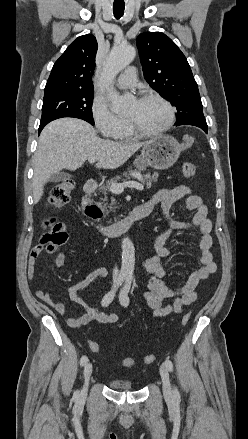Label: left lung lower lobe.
<instances>
[{
  "instance_id": "0a47b994",
  "label": "left lung lower lobe",
  "mask_w": 248,
  "mask_h": 439,
  "mask_svg": "<svg viewBox=\"0 0 248 439\" xmlns=\"http://www.w3.org/2000/svg\"><path fill=\"white\" fill-rule=\"evenodd\" d=\"M199 128H201L205 133H208V126L207 125H194Z\"/></svg>"
}]
</instances>
